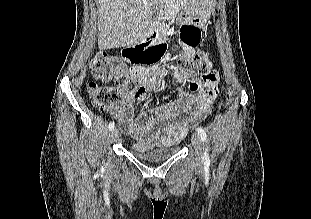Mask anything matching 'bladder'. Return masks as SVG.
Instances as JSON below:
<instances>
[{
	"mask_svg": "<svg viewBox=\"0 0 311 219\" xmlns=\"http://www.w3.org/2000/svg\"><path fill=\"white\" fill-rule=\"evenodd\" d=\"M130 151L137 157L147 161L167 160L176 155L180 147L177 145H166L163 147L153 148L148 143L136 142L129 145Z\"/></svg>",
	"mask_w": 311,
	"mask_h": 219,
	"instance_id": "1",
	"label": "bladder"
}]
</instances>
